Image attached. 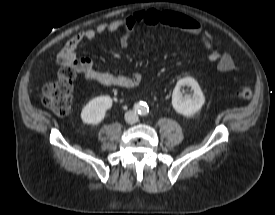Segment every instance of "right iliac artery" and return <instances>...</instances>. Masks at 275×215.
Instances as JSON below:
<instances>
[{
    "label": "right iliac artery",
    "instance_id": "1",
    "mask_svg": "<svg viewBox=\"0 0 275 215\" xmlns=\"http://www.w3.org/2000/svg\"><path fill=\"white\" fill-rule=\"evenodd\" d=\"M134 110L139 112V111H140V106H139L138 104L135 105V106H134Z\"/></svg>",
    "mask_w": 275,
    "mask_h": 215
}]
</instances>
